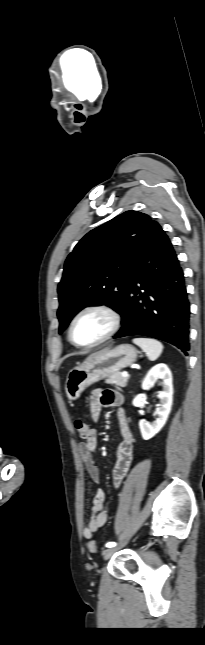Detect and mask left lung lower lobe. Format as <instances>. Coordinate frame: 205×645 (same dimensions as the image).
Segmentation results:
<instances>
[{
    "instance_id": "obj_1",
    "label": "left lung lower lobe",
    "mask_w": 205,
    "mask_h": 645,
    "mask_svg": "<svg viewBox=\"0 0 205 645\" xmlns=\"http://www.w3.org/2000/svg\"><path fill=\"white\" fill-rule=\"evenodd\" d=\"M114 338L144 335L169 342L188 355L190 304L182 268L161 226L151 221L130 267Z\"/></svg>"
}]
</instances>
